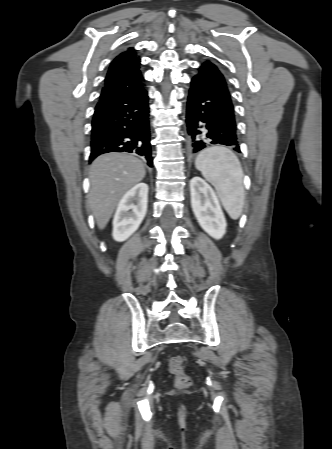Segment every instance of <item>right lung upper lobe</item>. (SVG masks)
I'll list each match as a JSON object with an SVG mask.
<instances>
[{
    "mask_svg": "<svg viewBox=\"0 0 332 449\" xmlns=\"http://www.w3.org/2000/svg\"><path fill=\"white\" fill-rule=\"evenodd\" d=\"M143 81L140 58L133 48H129L111 63L100 100L121 98L138 93L143 89Z\"/></svg>",
    "mask_w": 332,
    "mask_h": 449,
    "instance_id": "cb5924a9",
    "label": "right lung upper lobe"
}]
</instances>
